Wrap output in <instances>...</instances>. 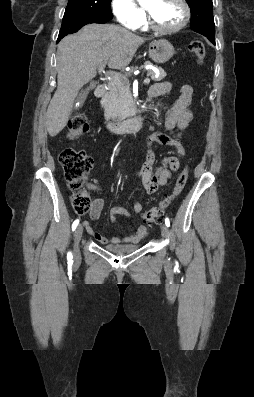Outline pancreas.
Returning <instances> with one entry per match:
<instances>
[{
    "instance_id": "obj_1",
    "label": "pancreas",
    "mask_w": 254,
    "mask_h": 397,
    "mask_svg": "<svg viewBox=\"0 0 254 397\" xmlns=\"http://www.w3.org/2000/svg\"><path fill=\"white\" fill-rule=\"evenodd\" d=\"M134 68H132V71ZM159 74L153 70H148L147 76H150L153 81H161L166 77V72L162 68H158ZM131 73V72H130ZM127 73L122 75L120 80H113L109 83V90L106 92L101 100V105L105 110V116L114 121L123 118L127 109L133 105L131 101V93Z\"/></svg>"
}]
</instances>
